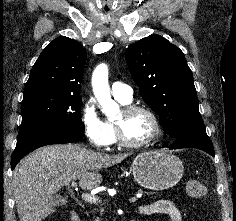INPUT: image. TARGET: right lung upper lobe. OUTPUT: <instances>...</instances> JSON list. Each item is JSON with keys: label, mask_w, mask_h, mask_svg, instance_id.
Here are the masks:
<instances>
[{"label": "right lung upper lobe", "mask_w": 236, "mask_h": 221, "mask_svg": "<svg viewBox=\"0 0 236 221\" xmlns=\"http://www.w3.org/2000/svg\"><path fill=\"white\" fill-rule=\"evenodd\" d=\"M85 61L86 50L76 40L64 36L54 39L31 69L24 94H79Z\"/></svg>", "instance_id": "obj_1"}]
</instances>
